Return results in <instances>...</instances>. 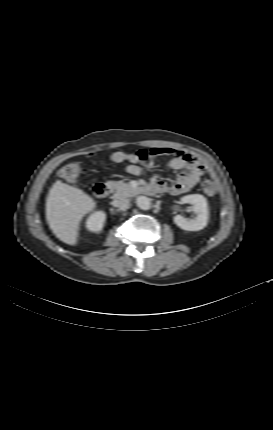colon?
<instances>
[{"label":"colon","instance_id":"obj_1","mask_svg":"<svg viewBox=\"0 0 273 430\" xmlns=\"http://www.w3.org/2000/svg\"><path fill=\"white\" fill-rule=\"evenodd\" d=\"M80 172V166L76 162L66 164L60 170V177L67 182H75ZM202 189L205 194L212 196L216 193V185L211 180H205L202 183Z\"/></svg>","mask_w":273,"mask_h":430}]
</instances>
